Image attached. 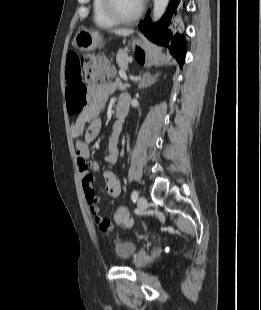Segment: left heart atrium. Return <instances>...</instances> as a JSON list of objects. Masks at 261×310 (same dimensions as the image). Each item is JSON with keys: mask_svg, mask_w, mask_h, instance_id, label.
<instances>
[{"mask_svg": "<svg viewBox=\"0 0 261 310\" xmlns=\"http://www.w3.org/2000/svg\"><path fill=\"white\" fill-rule=\"evenodd\" d=\"M138 1H139L140 4H142L144 0H138Z\"/></svg>", "mask_w": 261, "mask_h": 310, "instance_id": "obj_1", "label": "left heart atrium"}]
</instances>
